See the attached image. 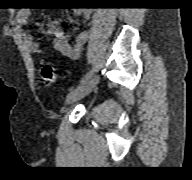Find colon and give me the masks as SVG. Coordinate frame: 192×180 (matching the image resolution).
Masks as SVG:
<instances>
[{"label": "colon", "mask_w": 192, "mask_h": 180, "mask_svg": "<svg viewBox=\"0 0 192 180\" xmlns=\"http://www.w3.org/2000/svg\"><path fill=\"white\" fill-rule=\"evenodd\" d=\"M40 70H41L42 78L46 84L51 85V84L56 83V81L58 79V75H57L55 69L51 65L43 63L41 65Z\"/></svg>", "instance_id": "colon-1"}]
</instances>
